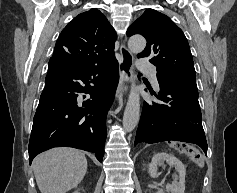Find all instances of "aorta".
Listing matches in <instances>:
<instances>
[{
	"label": "aorta",
	"mask_w": 237,
	"mask_h": 193,
	"mask_svg": "<svg viewBox=\"0 0 237 193\" xmlns=\"http://www.w3.org/2000/svg\"><path fill=\"white\" fill-rule=\"evenodd\" d=\"M146 47V40L142 35H133L128 40V48L131 53L139 54ZM140 118V95L135 83H132L123 116V128L131 132L137 126Z\"/></svg>",
	"instance_id": "762f6f07"
}]
</instances>
